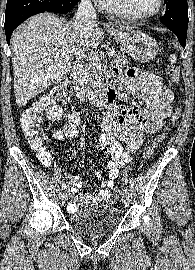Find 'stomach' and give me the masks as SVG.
<instances>
[{"label": "stomach", "mask_w": 195, "mask_h": 270, "mask_svg": "<svg viewBox=\"0 0 195 270\" xmlns=\"http://www.w3.org/2000/svg\"><path fill=\"white\" fill-rule=\"evenodd\" d=\"M109 32L122 49L136 61L149 62L159 51L157 41L139 30L110 29Z\"/></svg>", "instance_id": "1"}]
</instances>
